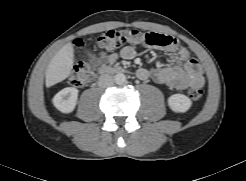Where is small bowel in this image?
Segmentation results:
<instances>
[{
	"label": "small bowel",
	"instance_id": "c3829d8e",
	"mask_svg": "<svg viewBox=\"0 0 246 181\" xmlns=\"http://www.w3.org/2000/svg\"><path fill=\"white\" fill-rule=\"evenodd\" d=\"M166 51L174 58L175 63L155 69L140 68L137 70V77L142 80L152 79L159 84L169 86L174 89L182 90L190 85L203 86L205 79L203 77L200 63L190 56L189 51L178 45L166 48ZM135 49L131 46H125L120 51L123 59L129 60L135 57ZM118 58L116 53H101L93 57V61L102 67L113 64Z\"/></svg>",
	"mask_w": 246,
	"mask_h": 181
}]
</instances>
